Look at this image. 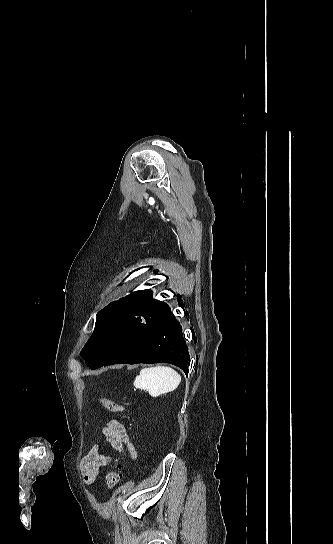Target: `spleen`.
<instances>
[{"mask_svg": "<svg viewBox=\"0 0 333 544\" xmlns=\"http://www.w3.org/2000/svg\"><path fill=\"white\" fill-rule=\"evenodd\" d=\"M181 382V376L167 366L143 368L136 376L134 386L146 390L153 397L174 391Z\"/></svg>", "mask_w": 333, "mask_h": 544, "instance_id": "spleen-1", "label": "spleen"}]
</instances>
